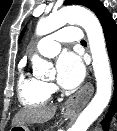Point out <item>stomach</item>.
I'll use <instances>...</instances> for the list:
<instances>
[{
	"mask_svg": "<svg viewBox=\"0 0 117 131\" xmlns=\"http://www.w3.org/2000/svg\"><path fill=\"white\" fill-rule=\"evenodd\" d=\"M72 114H73V111H70V110L63 111L64 117H69ZM12 130H14V131H30L26 124L13 126Z\"/></svg>",
	"mask_w": 117,
	"mask_h": 131,
	"instance_id": "obj_1",
	"label": "stomach"
}]
</instances>
